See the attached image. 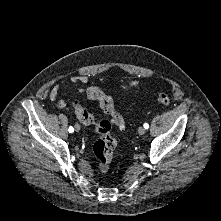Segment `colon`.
<instances>
[{"mask_svg": "<svg viewBox=\"0 0 221 221\" xmlns=\"http://www.w3.org/2000/svg\"><path fill=\"white\" fill-rule=\"evenodd\" d=\"M87 95L99 101L101 109L109 116V120L97 121L94 116L84 108L79 102L73 104L77 119L83 125H92L100 134V138L94 143L93 152L98 161V168L101 173H106L112 161L113 152L116 147V140L110 134L112 124L120 129L126 128V122L121 114L117 111L113 98L105 94L100 88L92 86L87 90ZM156 101L168 106L171 99L165 92L156 94Z\"/></svg>", "mask_w": 221, "mask_h": 221, "instance_id": "colon-1", "label": "colon"}]
</instances>
